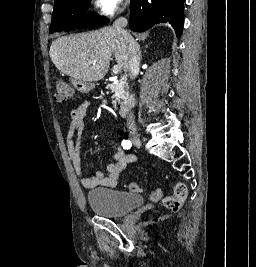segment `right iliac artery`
<instances>
[{"label": "right iliac artery", "instance_id": "obj_1", "mask_svg": "<svg viewBox=\"0 0 256 267\" xmlns=\"http://www.w3.org/2000/svg\"><path fill=\"white\" fill-rule=\"evenodd\" d=\"M122 146H123L124 149H130L131 146H132V143L129 140H123L122 141Z\"/></svg>", "mask_w": 256, "mask_h": 267}]
</instances>
